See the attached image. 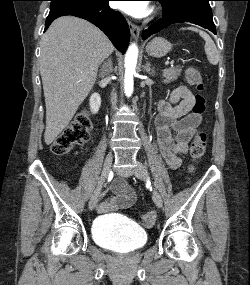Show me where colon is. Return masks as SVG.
Returning <instances> with one entry per match:
<instances>
[{
    "instance_id": "1",
    "label": "colon",
    "mask_w": 250,
    "mask_h": 285,
    "mask_svg": "<svg viewBox=\"0 0 250 285\" xmlns=\"http://www.w3.org/2000/svg\"><path fill=\"white\" fill-rule=\"evenodd\" d=\"M185 77L189 84L193 85L197 94L192 108L195 115L201 116L205 111V98L202 95L204 84L200 71L195 67H188ZM92 131V121L87 111L79 112L71 123L53 141L51 150L56 155H63L71 151L75 146L84 144L90 139ZM206 150V135L198 132L190 146V155L193 160L200 159ZM142 219L145 223L151 224L156 220L155 211L143 214Z\"/></svg>"
}]
</instances>
